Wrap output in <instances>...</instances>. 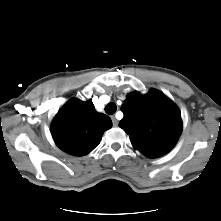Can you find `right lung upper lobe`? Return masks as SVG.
Listing matches in <instances>:
<instances>
[{
    "instance_id": "1",
    "label": "right lung upper lobe",
    "mask_w": 221,
    "mask_h": 221,
    "mask_svg": "<svg viewBox=\"0 0 221 221\" xmlns=\"http://www.w3.org/2000/svg\"><path fill=\"white\" fill-rule=\"evenodd\" d=\"M111 119L95 111L91 101L70 100L52 122V136L56 145L68 154L83 156L91 152L111 128Z\"/></svg>"
}]
</instances>
